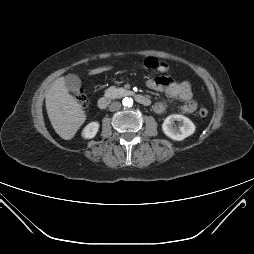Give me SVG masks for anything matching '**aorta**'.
<instances>
[{
	"label": "aorta",
	"instance_id": "762f6f07",
	"mask_svg": "<svg viewBox=\"0 0 254 254\" xmlns=\"http://www.w3.org/2000/svg\"><path fill=\"white\" fill-rule=\"evenodd\" d=\"M122 103H123V105H124L125 107H132V105H133V99H132V98L126 97V98H124V99L122 100Z\"/></svg>",
	"mask_w": 254,
	"mask_h": 254
}]
</instances>
